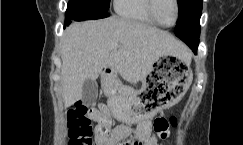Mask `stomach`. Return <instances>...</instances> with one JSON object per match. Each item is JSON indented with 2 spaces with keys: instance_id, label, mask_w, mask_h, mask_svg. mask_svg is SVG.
<instances>
[{
  "instance_id": "obj_1",
  "label": "stomach",
  "mask_w": 243,
  "mask_h": 145,
  "mask_svg": "<svg viewBox=\"0 0 243 145\" xmlns=\"http://www.w3.org/2000/svg\"><path fill=\"white\" fill-rule=\"evenodd\" d=\"M170 56H163L153 64L138 94H124L123 87L112 79L103 80L113 116L123 122L136 123L156 116L182 98L193 79L190 57Z\"/></svg>"
}]
</instances>
